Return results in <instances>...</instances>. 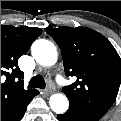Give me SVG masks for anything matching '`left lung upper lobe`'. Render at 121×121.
I'll list each match as a JSON object with an SVG mask.
<instances>
[{
    "label": "left lung upper lobe",
    "mask_w": 121,
    "mask_h": 121,
    "mask_svg": "<svg viewBox=\"0 0 121 121\" xmlns=\"http://www.w3.org/2000/svg\"><path fill=\"white\" fill-rule=\"evenodd\" d=\"M61 48L66 76L77 81L63 88L70 110L100 119L114 103L121 81V60L113 45L86 27L47 28Z\"/></svg>",
    "instance_id": "obj_1"
}]
</instances>
